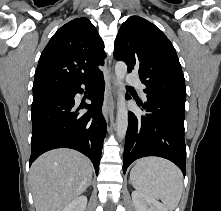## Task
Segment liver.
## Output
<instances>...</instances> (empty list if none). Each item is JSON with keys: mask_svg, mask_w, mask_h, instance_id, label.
<instances>
[{"mask_svg": "<svg viewBox=\"0 0 221 211\" xmlns=\"http://www.w3.org/2000/svg\"><path fill=\"white\" fill-rule=\"evenodd\" d=\"M92 173L90 160L75 150L55 149L41 155L30 169L36 211H62L87 189Z\"/></svg>", "mask_w": 221, "mask_h": 211, "instance_id": "6515ba94", "label": "liver"}]
</instances>
